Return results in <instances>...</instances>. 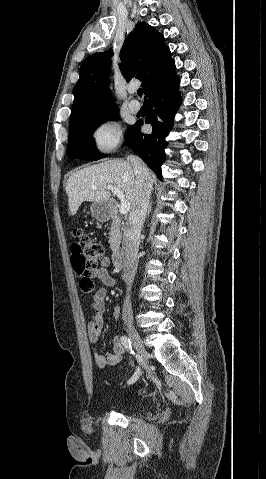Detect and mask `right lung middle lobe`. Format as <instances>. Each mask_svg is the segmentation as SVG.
<instances>
[{
	"label": "right lung middle lobe",
	"instance_id": "1",
	"mask_svg": "<svg viewBox=\"0 0 266 479\" xmlns=\"http://www.w3.org/2000/svg\"><path fill=\"white\" fill-rule=\"evenodd\" d=\"M110 119L118 120L117 108L71 121L67 146L68 157L71 160L76 158L84 160L101 159L103 155L98 153L92 135L98 126Z\"/></svg>",
	"mask_w": 266,
	"mask_h": 479
}]
</instances>
